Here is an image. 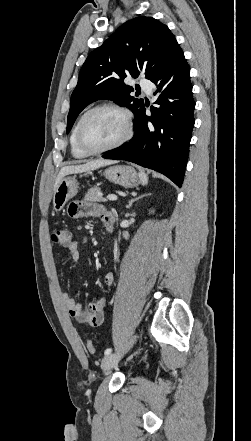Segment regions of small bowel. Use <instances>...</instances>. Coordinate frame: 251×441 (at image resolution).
I'll return each instance as SVG.
<instances>
[{
	"instance_id": "obj_1",
	"label": "small bowel",
	"mask_w": 251,
	"mask_h": 441,
	"mask_svg": "<svg viewBox=\"0 0 251 441\" xmlns=\"http://www.w3.org/2000/svg\"><path fill=\"white\" fill-rule=\"evenodd\" d=\"M71 217H99L105 224L108 220H114L111 212L102 209L100 206L89 201H78L70 204L68 209ZM69 259L77 262L80 259V249L77 241H72L68 246ZM103 281L107 286L114 282V274L106 272ZM61 300L68 310L69 315L79 324L87 327L100 326L105 320V313L108 302L105 296H101L93 303L82 306L68 292H62Z\"/></svg>"
}]
</instances>
